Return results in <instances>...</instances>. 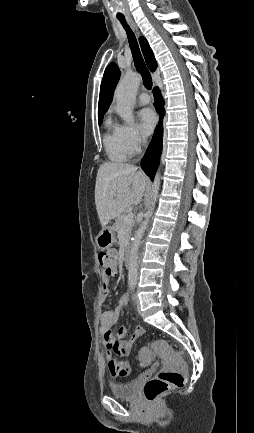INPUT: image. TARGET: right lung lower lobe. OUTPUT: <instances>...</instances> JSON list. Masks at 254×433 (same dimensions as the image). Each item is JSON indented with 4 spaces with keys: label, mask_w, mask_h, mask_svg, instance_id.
Here are the masks:
<instances>
[{
    "label": "right lung lower lobe",
    "mask_w": 254,
    "mask_h": 433,
    "mask_svg": "<svg viewBox=\"0 0 254 433\" xmlns=\"http://www.w3.org/2000/svg\"><path fill=\"white\" fill-rule=\"evenodd\" d=\"M155 107L159 112L161 118L155 130L154 137L141 161V166L144 172L153 180L157 166L159 165L160 155L162 151L163 139V125L162 120L164 116V101L161 97L160 91L154 89Z\"/></svg>",
    "instance_id": "98d812e1"
}]
</instances>
